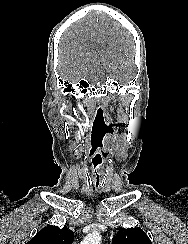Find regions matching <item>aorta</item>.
Here are the masks:
<instances>
[{
	"mask_svg": "<svg viewBox=\"0 0 188 244\" xmlns=\"http://www.w3.org/2000/svg\"><path fill=\"white\" fill-rule=\"evenodd\" d=\"M100 241H101L100 233L94 230L83 239L81 244H100Z\"/></svg>",
	"mask_w": 188,
	"mask_h": 244,
	"instance_id": "1",
	"label": "aorta"
}]
</instances>
